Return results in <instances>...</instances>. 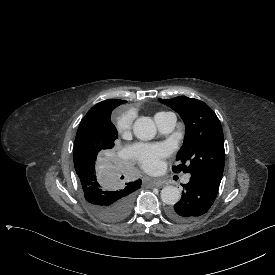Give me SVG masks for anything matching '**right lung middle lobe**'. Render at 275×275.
Wrapping results in <instances>:
<instances>
[{
    "mask_svg": "<svg viewBox=\"0 0 275 275\" xmlns=\"http://www.w3.org/2000/svg\"><path fill=\"white\" fill-rule=\"evenodd\" d=\"M74 166L81 193L98 216L119 221L129 214L133 192L141 182L125 185L129 165L111 115L82 119L74 143Z\"/></svg>",
    "mask_w": 275,
    "mask_h": 275,
    "instance_id": "1",
    "label": "right lung middle lobe"
}]
</instances>
